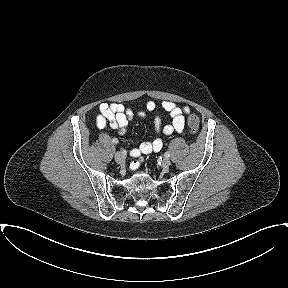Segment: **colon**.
Returning <instances> with one entry per match:
<instances>
[{"instance_id":"5ec220e1","label":"colon","mask_w":288,"mask_h":288,"mask_svg":"<svg viewBox=\"0 0 288 288\" xmlns=\"http://www.w3.org/2000/svg\"><path fill=\"white\" fill-rule=\"evenodd\" d=\"M200 121L195 115H191L188 118V128L191 134H196L199 131Z\"/></svg>"}]
</instances>
